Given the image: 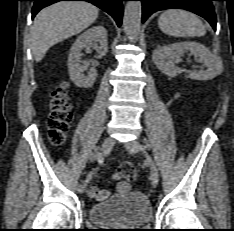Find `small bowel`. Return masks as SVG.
<instances>
[{
    "label": "small bowel",
    "instance_id": "small-bowel-1",
    "mask_svg": "<svg viewBox=\"0 0 234 231\" xmlns=\"http://www.w3.org/2000/svg\"><path fill=\"white\" fill-rule=\"evenodd\" d=\"M131 189L129 182L127 181H120L117 184V191L120 193H127ZM88 194L91 198L96 201H102L108 196L107 191H99L96 185H89L88 186Z\"/></svg>",
    "mask_w": 234,
    "mask_h": 231
}]
</instances>
